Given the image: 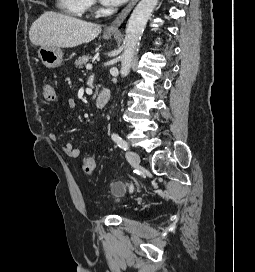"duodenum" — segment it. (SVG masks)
<instances>
[{"instance_id": "410a0bca", "label": "duodenum", "mask_w": 255, "mask_h": 272, "mask_svg": "<svg viewBox=\"0 0 255 272\" xmlns=\"http://www.w3.org/2000/svg\"><path fill=\"white\" fill-rule=\"evenodd\" d=\"M111 99V91L108 88H103L96 99V107L103 109Z\"/></svg>"}]
</instances>
